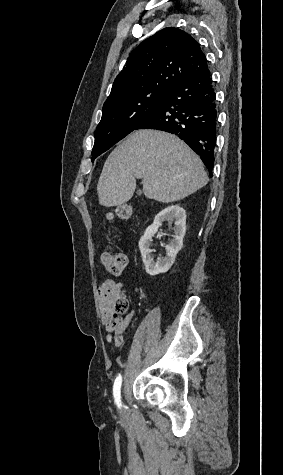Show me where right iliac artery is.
<instances>
[{"label":"right iliac artery","instance_id":"82829eb1","mask_svg":"<svg viewBox=\"0 0 283 475\" xmlns=\"http://www.w3.org/2000/svg\"><path fill=\"white\" fill-rule=\"evenodd\" d=\"M121 384H122V377H121V375H119L116 378V380L114 382V386H113V395H114V398H115V402H116V404L119 408L121 406V400H120Z\"/></svg>","mask_w":283,"mask_h":475}]
</instances>
